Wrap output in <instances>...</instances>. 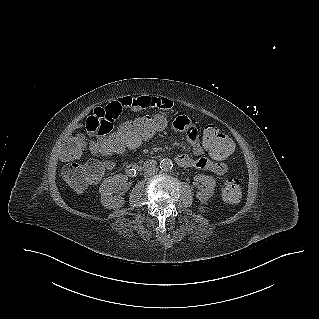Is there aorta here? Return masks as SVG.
Segmentation results:
<instances>
[{"label":"aorta","mask_w":319,"mask_h":319,"mask_svg":"<svg viewBox=\"0 0 319 319\" xmlns=\"http://www.w3.org/2000/svg\"><path fill=\"white\" fill-rule=\"evenodd\" d=\"M173 167V163L170 159L168 158H165V159H162L161 162H160V169L163 171V172H169L171 171Z\"/></svg>","instance_id":"762f6f07"}]
</instances>
